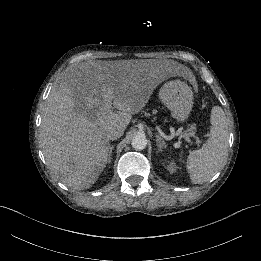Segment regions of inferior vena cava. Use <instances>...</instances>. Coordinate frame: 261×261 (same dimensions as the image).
I'll return each mask as SVG.
<instances>
[{"label":"inferior vena cava","mask_w":261,"mask_h":261,"mask_svg":"<svg viewBox=\"0 0 261 261\" xmlns=\"http://www.w3.org/2000/svg\"><path fill=\"white\" fill-rule=\"evenodd\" d=\"M124 133V129L121 128H113L110 131L107 132V137L110 140H116L120 138Z\"/></svg>","instance_id":"1"}]
</instances>
